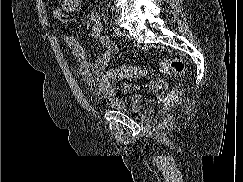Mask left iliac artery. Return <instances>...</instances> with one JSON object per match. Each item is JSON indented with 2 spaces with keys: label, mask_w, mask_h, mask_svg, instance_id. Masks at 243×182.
I'll use <instances>...</instances> for the list:
<instances>
[{
  "label": "left iliac artery",
  "mask_w": 243,
  "mask_h": 182,
  "mask_svg": "<svg viewBox=\"0 0 243 182\" xmlns=\"http://www.w3.org/2000/svg\"><path fill=\"white\" fill-rule=\"evenodd\" d=\"M114 32H115V36L117 37H121L123 35L119 28H115Z\"/></svg>",
  "instance_id": "left-iliac-artery-1"
}]
</instances>
